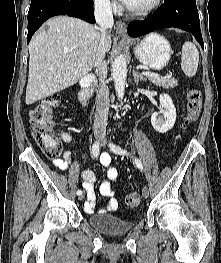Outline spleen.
I'll return each mask as SVG.
<instances>
[{
    "label": "spleen",
    "mask_w": 221,
    "mask_h": 263,
    "mask_svg": "<svg viewBox=\"0 0 221 263\" xmlns=\"http://www.w3.org/2000/svg\"><path fill=\"white\" fill-rule=\"evenodd\" d=\"M199 52L191 42H185L182 46L181 68L188 77H193L198 68Z\"/></svg>",
    "instance_id": "obj_1"
}]
</instances>
